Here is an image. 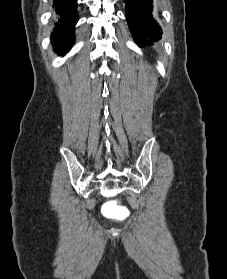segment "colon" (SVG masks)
Returning <instances> with one entry per match:
<instances>
[{
    "instance_id": "colon-1",
    "label": "colon",
    "mask_w": 227,
    "mask_h": 279,
    "mask_svg": "<svg viewBox=\"0 0 227 279\" xmlns=\"http://www.w3.org/2000/svg\"><path fill=\"white\" fill-rule=\"evenodd\" d=\"M129 216L128 209L126 207L121 206L118 212L115 214L114 218L116 220H125Z\"/></svg>"
}]
</instances>
